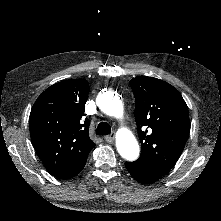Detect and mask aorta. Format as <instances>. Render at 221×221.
<instances>
[{
  "instance_id": "762f6f07",
  "label": "aorta",
  "mask_w": 221,
  "mask_h": 221,
  "mask_svg": "<svg viewBox=\"0 0 221 221\" xmlns=\"http://www.w3.org/2000/svg\"><path fill=\"white\" fill-rule=\"evenodd\" d=\"M100 109L107 115L115 118L123 117V103L118 96L108 92L100 98ZM116 147L118 153L128 161H135L139 157L140 148L139 144L128 129H121L116 136Z\"/></svg>"
}]
</instances>
